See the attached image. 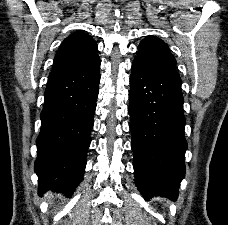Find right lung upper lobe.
Listing matches in <instances>:
<instances>
[{"label":"right lung upper lobe","instance_id":"1","mask_svg":"<svg viewBox=\"0 0 228 225\" xmlns=\"http://www.w3.org/2000/svg\"><path fill=\"white\" fill-rule=\"evenodd\" d=\"M97 44L83 31L69 35L61 43L53 63V70L79 65L97 55Z\"/></svg>","mask_w":228,"mask_h":225}]
</instances>
